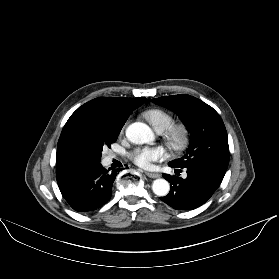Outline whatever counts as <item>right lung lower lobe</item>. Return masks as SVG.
I'll list each match as a JSON object with an SVG mask.
<instances>
[{"instance_id":"98d812e1","label":"right lung lower lobe","mask_w":279,"mask_h":279,"mask_svg":"<svg viewBox=\"0 0 279 279\" xmlns=\"http://www.w3.org/2000/svg\"><path fill=\"white\" fill-rule=\"evenodd\" d=\"M120 169L109 172L100 163L78 164L56 174L59 189L76 211L88 212L103 206L112 195V184Z\"/></svg>"}]
</instances>
